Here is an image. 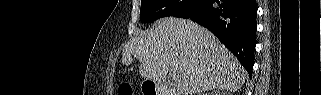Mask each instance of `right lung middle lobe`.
I'll return each mask as SVG.
<instances>
[{
    "label": "right lung middle lobe",
    "mask_w": 321,
    "mask_h": 95,
    "mask_svg": "<svg viewBox=\"0 0 321 95\" xmlns=\"http://www.w3.org/2000/svg\"><path fill=\"white\" fill-rule=\"evenodd\" d=\"M205 2L206 0H141L140 20L149 23L167 16L187 18Z\"/></svg>",
    "instance_id": "obj_1"
}]
</instances>
